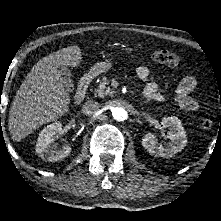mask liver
Masks as SVG:
<instances>
[{
    "instance_id": "6515ba94",
    "label": "liver",
    "mask_w": 221,
    "mask_h": 221,
    "mask_svg": "<svg viewBox=\"0 0 221 221\" xmlns=\"http://www.w3.org/2000/svg\"><path fill=\"white\" fill-rule=\"evenodd\" d=\"M77 45L58 50L37 62L20 85L9 113V132L16 142L69 110L70 95L58 72L81 61Z\"/></svg>"
}]
</instances>
